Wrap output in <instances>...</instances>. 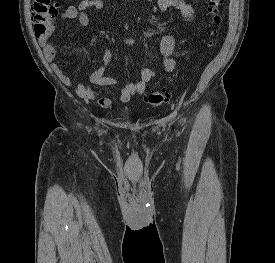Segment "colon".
Segmentation results:
<instances>
[{
  "mask_svg": "<svg viewBox=\"0 0 275 263\" xmlns=\"http://www.w3.org/2000/svg\"><path fill=\"white\" fill-rule=\"evenodd\" d=\"M225 0H207L208 34L211 39L206 43L207 48L214 46L217 29L223 22V4ZM58 3L54 0H34L32 7L33 31L41 38L54 28V18L57 15ZM172 93L165 89H157L145 97L147 103L153 106L166 104Z\"/></svg>",
  "mask_w": 275,
  "mask_h": 263,
  "instance_id": "5ec220e1",
  "label": "colon"
}]
</instances>
